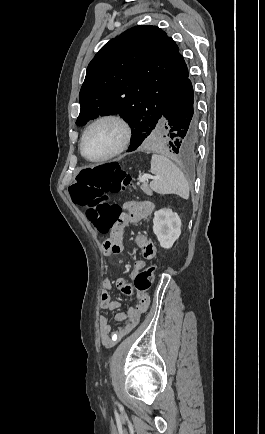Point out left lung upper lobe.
Returning a JSON list of instances; mask_svg holds the SVG:
<instances>
[{"mask_svg":"<svg viewBox=\"0 0 265 434\" xmlns=\"http://www.w3.org/2000/svg\"><path fill=\"white\" fill-rule=\"evenodd\" d=\"M171 37L156 26H135L110 40L89 63L76 124L120 114L133 129L154 128L188 77Z\"/></svg>","mask_w":265,"mask_h":434,"instance_id":"obj_1","label":"left lung upper lobe"}]
</instances>
